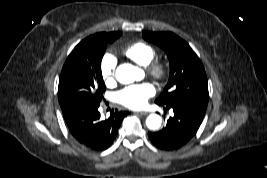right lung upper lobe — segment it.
<instances>
[{
    "label": "right lung upper lobe",
    "mask_w": 267,
    "mask_h": 178,
    "mask_svg": "<svg viewBox=\"0 0 267 178\" xmlns=\"http://www.w3.org/2000/svg\"><path fill=\"white\" fill-rule=\"evenodd\" d=\"M117 33H120V32H111V33H105V32H102V33H97V34H94V35H105V36H111V35H115Z\"/></svg>",
    "instance_id": "cb5924a9"
}]
</instances>
